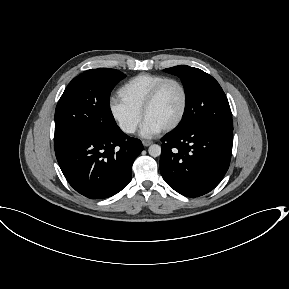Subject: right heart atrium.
I'll list each match as a JSON object with an SVG mask.
<instances>
[{"label":"right heart atrium","instance_id":"d8ad5b80","mask_svg":"<svg viewBox=\"0 0 289 289\" xmlns=\"http://www.w3.org/2000/svg\"><path fill=\"white\" fill-rule=\"evenodd\" d=\"M109 111L119 128L126 134H133L140 122L141 113L126 106L120 100L111 99Z\"/></svg>","mask_w":289,"mask_h":289}]
</instances>
